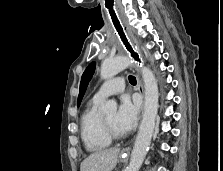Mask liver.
I'll return each instance as SVG.
<instances>
[{"label":"liver","instance_id":"1","mask_svg":"<svg viewBox=\"0 0 223 171\" xmlns=\"http://www.w3.org/2000/svg\"><path fill=\"white\" fill-rule=\"evenodd\" d=\"M119 152V148L96 151L83 160L80 171H112L117 164Z\"/></svg>","mask_w":223,"mask_h":171}]
</instances>
